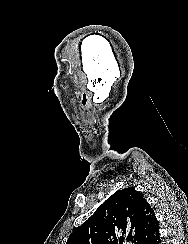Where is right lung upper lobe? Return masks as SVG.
Segmentation results:
<instances>
[{
    "label": "right lung upper lobe",
    "mask_w": 188,
    "mask_h": 244,
    "mask_svg": "<svg viewBox=\"0 0 188 244\" xmlns=\"http://www.w3.org/2000/svg\"><path fill=\"white\" fill-rule=\"evenodd\" d=\"M157 226L149 203L134 187H128L101 204L66 244H145Z\"/></svg>",
    "instance_id": "obj_1"
}]
</instances>
